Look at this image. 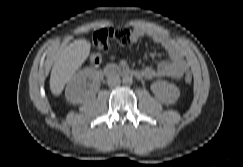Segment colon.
Segmentation results:
<instances>
[{
  "instance_id": "5ec220e1",
  "label": "colon",
  "mask_w": 243,
  "mask_h": 167,
  "mask_svg": "<svg viewBox=\"0 0 243 167\" xmlns=\"http://www.w3.org/2000/svg\"><path fill=\"white\" fill-rule=\"evenodd\" d=\"M132 40V31L128 27H116V28H100L93 36V45L95 51L90 55V65L96 67L101 64L103 55L109 48L110 42H114L120 47L129 46ZM192 75L190 73L185 74L184 81L186 83L192 82Z\"/></svg>"
}]
</instances>
